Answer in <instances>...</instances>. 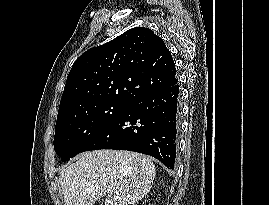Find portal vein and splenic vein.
<instances>
[{"label": "portal vein and splenic vein", "instance_id": "18ae733b", "mask_svg": "<svg viewBox=\"0 0 269 205\" xmlns=\"http://www.w3.org/2000/svg\"><path fill=\"white\" fill-rule=\"evenodd\" d=\"M111 191H112L111 189H108V190H107V193H110Z\"/></svg>", "mask_w": 269, "mask_h": 205}]
</instances>
